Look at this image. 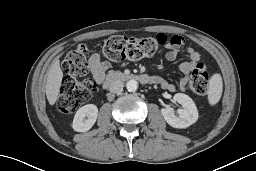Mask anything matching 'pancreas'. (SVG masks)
<instances>
[{
  "label": "pancreas",
  "mask_w": 256,
  "mask_h": 171,
  "mask_svg": "<svg viewBox=\"0 0 256 171\" xmlns=\"http://www.w3.org/2000/svg\"><path fill=\"white\" fill-rule=\"evenodd\" d=\"M111 75H117V74H120V72H110Z\"/></svg>",
  "instance_id": "cf45deb5"
}]
</instances>
